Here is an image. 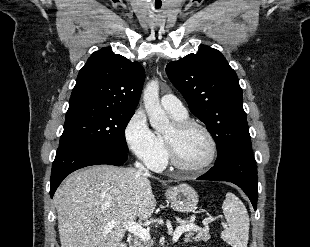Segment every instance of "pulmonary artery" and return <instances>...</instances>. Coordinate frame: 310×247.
Returning a JSON list of instances; mask_svg holds the SVG:
<instances>
[{
    "mask_svg": "<svg viewBox=\"0 0 310 247\" xmlns=\"http://www.w3.org/2000/svg\"><path fill=\"white\" fill-rule=\"evenodd\" d=\"M162 107L174 116H187L186 108L173 94H165L161 97Z\"/></svg>",
    "mask_w": 310,
    "mask_h": 247,
    "instance_id": "e3ab8cb5",
    "label": "pulmonary artery"
}]
</instances>
